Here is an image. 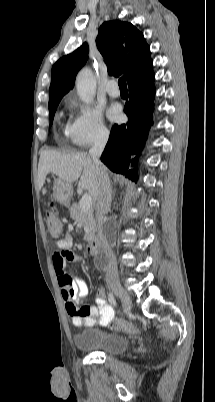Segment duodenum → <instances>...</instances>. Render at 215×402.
Segmentation results:
<instances>
[{
  "label": "duodenum",
  "mask_w": 215,
  "mask_h": 402,
  "mask_svg": "<svg viewBox=\"0 0 215 402\" xmlns=\"http://www.w3.org/2000/svg\"><path fill=\"white\" fill-rule=\"evenodd\" d=\"M101 243L98 239H92L88 242L86 250L88 254L95 255L100 251Z\"/></svg>",
  "instance_id": "obj_1"
}]
</instances>
